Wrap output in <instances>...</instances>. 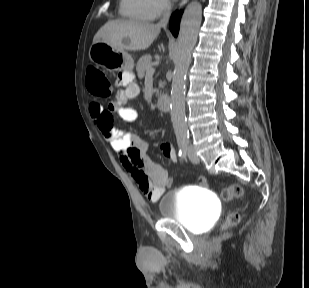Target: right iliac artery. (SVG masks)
<instances>
[{
    "label": "right iliac artery",
    "mask_w": 309,
    "mask_h": 288,
    "mask_svg": "<svg viewBox=\"0 0 309 288\" xmlns=\"http://www.w3.org/2000/svg\"><path fill=\"white\" fill-rule=\"evenodd\" d=\"M184 144H185V140H184V139L178 140V146H179V148H180V150H179V156H181V154H182L181 149H183Z\"/></svg>",
    "instance_id": "obj_1"
}]
</instances>
